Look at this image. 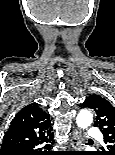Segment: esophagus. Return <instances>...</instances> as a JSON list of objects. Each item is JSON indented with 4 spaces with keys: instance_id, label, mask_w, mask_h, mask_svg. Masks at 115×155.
I'll list each match as a JSON object with an SVG mask.
<instances>
[{
    "instance_id": "obj_1",
    "label": "esophagus",
    "mask_w": 115,
    "mask_h": 155,
    "mask_svg": "<svg viewBox=\"0 0 115 155\" xmlns=\"http://www.w3.org/2000/svg\"><path fill=\"white\" fill-rule=\"evenodd\" d=\"M83 141L81 131L79 129H75L71 136V147L73 151H79L81 149V143Z\"/></svg>"
}]
</instances>
